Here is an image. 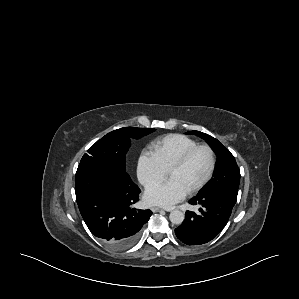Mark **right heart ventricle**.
I'll use <instances>...</instances> for the list:
<instances>
[{"instance_id":"1","label":"right heart ventricle","mask_w":299,"mask_h":299,"mask_svg":"<svg viewBox=\"0 0 299 299\" xmlns=\"http://www.w3.org/2000/svg\"><path fill=\"white\" fill-rule=\"evenodd\" d=\"M198 143L183 134H168L152 142L153 153L158 158L162 167L168 172L170 167L189 148Z\"/></svg>"}]
</instances>
